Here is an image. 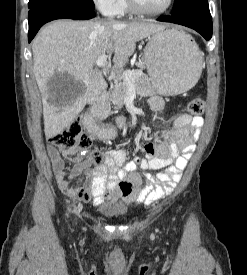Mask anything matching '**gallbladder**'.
I'll return each instance as SVG.
<instances>
[{
	"label": "gallbladder",
	"mask_w": 247,
	"mask_h": 275,
	"mask_svg": "<svg viewBox=\"0 0 247 275\" xmlns=\"http://www.w3.org/2000/svg\"><path fill=\"white\" fill-rule=\"evenodd\" d=\"M79 82L75 81L72 76L67 73H56L47 83L48 93L50 95H75Z\"/></svg>",
	"instance_id": "obj_1"
}]
</instances>
